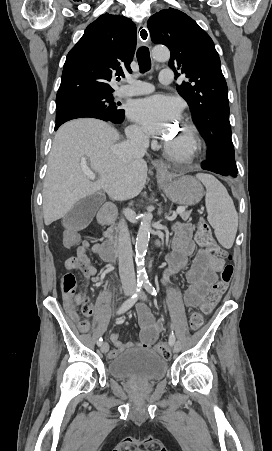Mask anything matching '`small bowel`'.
Here are the masks:
<instances>
[{"label": "small bowel", "instance_id": "obj_1", "mask_svg": "<svg viewBox=\"0 0 272 451\" xmlns=\"http://www.w3.org/2000/svg\"><path fill=\"white\" fill-rule=\"evenodd\" d=\"M172 252L166 256L165 268L161 278L162 284L165 285L170 276L175 273L182 272L185 274L187 288L184 291L183 300L188 308H194L199 305L200 300L208 291L210 285L215 281L216 274L224 266V259L209 260L208 251L206 249H197L193 241V228L190 223L178 222L173 226ZM91 249L89 242L83 241L77 247L76 256H88ZM94 252L98 251V246L92 248ZM194 256L193 262L189 264L190 257ZM96 274H83L85 293L91 278ZM66 301L64 300L65 308ZM73 320H78L79 316L73 309H67ZM139 324L141 326L140 340L137 343L122 342L118 333L111 334V341L114 349L108 353L110 359L116 358L124 350L139 346L148 348L152 346L161 331L163 330V319L153 320L150 316L148 308L144 304H140L137 308ZM85 316H91L92 313H83Z\"/></svg>", "mask_w": 272, "mask_h": 451}]
</instances>
